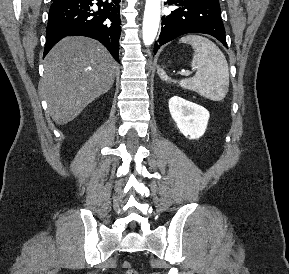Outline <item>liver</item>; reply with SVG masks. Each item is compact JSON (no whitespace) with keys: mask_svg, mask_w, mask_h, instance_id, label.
Listing matches in <instances>:
<instances>
[{"mask_svg":"<svg viewBox=\"0 0 289 274\" xmlns=\"http://www.w3.org/2000/svg\"><path fill=\"white\" fill-rule=\"evenodd\" d=\"M116 62L98 41L66 37L48 53L40 92L58 125L74 120L113 85Z\"/></svg>","mask_w":289,"mask_h":274,"instance_id":"liver-1","label":"liver"}]
</instances>
